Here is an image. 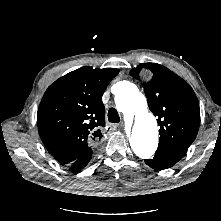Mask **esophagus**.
Returning <instances> with one entry per match:
<instances>
[{"mask_svg":"<svg viewBox=\"0 0 221 221\" xmlns=\"http://www.w3.org/2000/svg\"><path fill=\"white\" fill-rule=\"evenodd\" d=\"M124 125H123V123H120V124H112L111 125V127H113V128H121V127H123Z\"/></svg>","mask_w":221,"mask_h":221,"instance_id":"34e87169","label":"esophagus"}]
</instances>
